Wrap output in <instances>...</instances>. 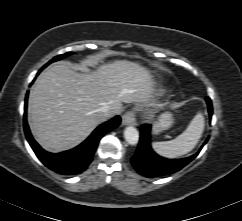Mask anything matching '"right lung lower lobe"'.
Returning a JSON list of instances; mask_svg holds the SVG:
<instances>
[{
	"label": "right lung lower lobe",
	"mask_w": 242,
	"mask_h": 221,
	"mask_svg": "<svg viewBox=\"0 0 242 221\" xmlns=\"http://www.w3.org/2000/svg\"><path fill=\"white\" fill-rule=\"evenodd\" d=\"M42 69L38 72V74ZM27 98H25L24 108V131L26 138L40 161L51 170L62 175H76L88 167L91 163L94 152L98 146L99 140L108 132L119 126L121 118L114 117L108 122L100 125L93 133L79 146L57 154L49 153L43 150L33 139L26 120Z\"/></svg>",
	"instance_id": "right-lung-lower-lobe-1"
}]
</instances>
